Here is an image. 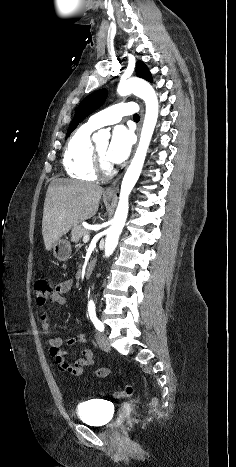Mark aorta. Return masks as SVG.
Here are the masks:
<instances>
[{"label":"aorta","mask_w":236,"mask_h":467,"mask_svg":"<svg viewBox=\"0 0 236 467\" xmlns=\"http://www.w3.org/2000/svg\"><path fill=\"white\" fill-rule=\"evenodd\" d=\"M117 93L120 96H126L133 93L140 97L145 102L146 112L139 144L122 180L118 206L112 220V224L107 230L105 240L106 257H109L114 252L118 244L119 236L125 225L129 209V195L141 174L159 113L157 95L153 87L143 79L130 78L125 81H121L118 85ZM101 133L102 132L100 131L98 134L100 135Z\"/></svg>","instance_id":"762f6f07"}]
</instances>
